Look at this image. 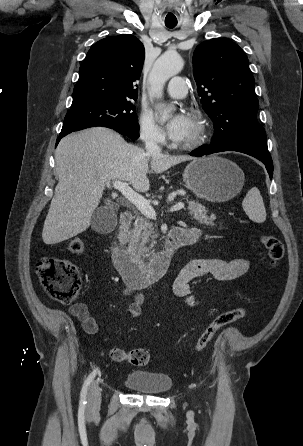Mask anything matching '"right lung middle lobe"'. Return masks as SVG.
Segmentation results:
<instances>
[{
  "mask_svg": "<svg viewBox=\"0 0 303 446\" xmlns=\"http://www.w3.org/2000/svg\"><path fill=\"white\" fill-rule=\"evenodd\" d=\"M87 125H103L131 139L139 137L135 106L130 100H118L71 108L64 119L61 133Z\"/></svg>",
  "mask_w": 303,
  "mask_h": 446,
  "instance_id": "1",
  "label": "right lung middle lobe"
}]
</instances>
